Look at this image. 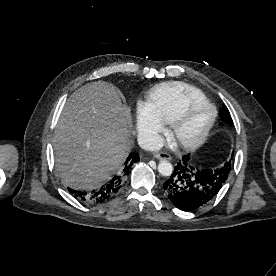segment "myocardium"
<instances>
[{"instance_id":"1","label":"myocardium","mask_w":276,"mask_h":276,"mask_svg":"<svg viewBox=\"0 0 276 276\" xmlns=\"http://www.w3.org/2000/svg\"><path fill=\"white\" fill-rule=\"evenodd\" d=\"M199 104H205L212 109V117H211L209 123L207 124V126L204 128V130L198 136H196L194 138H190V139H180L178 137V132H179L180 126L186 119L190 110ZM217 116H218V111H217L215 105L212 104L210 101H208L206 98L192 100L188 104H186V106L180 111V113L177 116H175V118L171 121V123H170L171 135L175 139V141L178 143V145L181 146L182 148L195 149L205 142V140L209 136L212 128L215 125Z\"/></svg>"}]
</instances>
